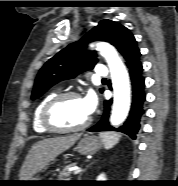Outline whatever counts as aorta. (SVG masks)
<instances>
[{
    "instance_id": "aorta-1",
    "label": "aorta",
    "mask_w": 178,
    "mask_h": 186,
    "mask_svg": "<svg viewBox=\"0 0 178 186\" xmlns=\"http://www.w3.org/2000/svg\"><path fill=\"white\" fill-rule=\"evenodd\" d=\"M97 50L106 59L112 79L114 103L110 122L113 126L121 124L130 108V83L127 70L116 50L105 42L96 44Z\"/></svg>"
}]
</instances>
